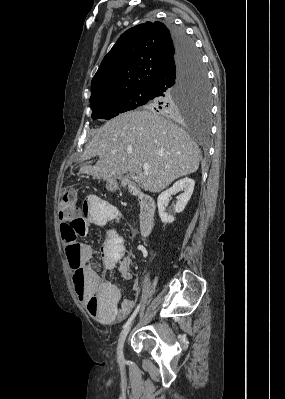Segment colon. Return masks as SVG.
Wrapping results in <instances>:
<instances>
[{"instance_id":"colon-1","label":"colon","mask_w":285,"mask_h":399,"mask_svg":"<svg viewBox=\"0 0 285 399\" xmlns=\"http://www.w3.org/2000/svg\"><path fill=\"white\" fill-rule=\"evenodd\" d=\"M82 204L77 199V192L75 188L67 189L60 201L59 216L62 219L60 224V232L62 240L66 245V254L70 263L72 273L73 290L77 292L82 291L84 282L83 268L80 266V248L78 240L81 237L80 229L85 226L84 220L81 217ZM113 218L109 219L111 222ZM117 258L122 257L124 253V246L120 239L117 240L114 249H111ZM97 306L100 301H94Z\"/></svg>"}]
</instances>
